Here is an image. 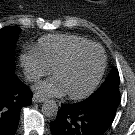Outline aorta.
I'll use <instances>...</instances> for the list:
<instances>
[{
  "mask_svg": "<svg viewBox=\"0 0 135 135\" xmlns=\"http://www.w3.org/2000/svg\"><path fill=\"white\" fill-rule=\"evenodd\" d=\"M42 113L47 117H54L58 113V105L54 100H48L42 105Z\"/></svg>",
  "mask_w": 135,
  "mask_h": 135,
  "instance_id": "aorta-1",
  "label": "aorta"
}]
</instances>
